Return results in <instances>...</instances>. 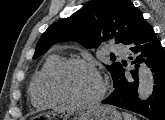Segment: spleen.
Segmentation results:
<instances>
[{"label":"spleen","instance_id":"1","mask_svg":"<svg viewBox=\"0 0 165 120\" xmlns=\"http://www.w3.org/2000/svg\"><path fill=\"white\" fill-rule=\"evenodd\" d=\"M124 120H137L135 117H133L131 114L124 112L123 113Z\"/></svg>","mask_w":165,"mask_h":120}]
</instances>
